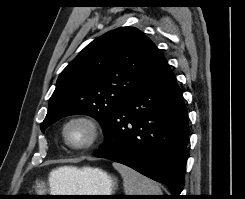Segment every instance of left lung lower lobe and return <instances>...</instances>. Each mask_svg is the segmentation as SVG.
Listing matches in <instances>:
<instances>
[{"instance_id":"1","label":"left lung lower lobe","mask_w":245,"mask_h":199,"mask_svg":"<svg viewBox=\"0 0 245 199\" xmlns=\"http://www.w3.org/2000/svg\"><path fill=\"white\" fill-rule=\"evenodd\" d=\"M99 158L131 167L168 186L180 199L184 186L188 114L166 59L113 112L104 130Z\"/></svg>"}]
</instances>
